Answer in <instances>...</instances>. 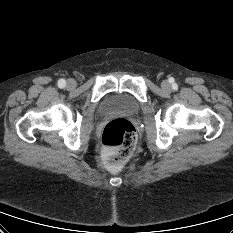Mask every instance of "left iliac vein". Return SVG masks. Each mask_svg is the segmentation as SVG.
<instances>
[{
    "label": "left iliac vein",
    "mask_w": 233,
    "mask_h": 233,
    "mask_svg": "<svg viewBox=\"0 0 233 233\" xmlns=\"http://www.w3.org/2000/svg\"><path fill=\"white\" fill-rule=\"evenodd\" d=\"M161 87L165 90V91H170L171 90V85L168 81H163L161 83Z\"/></svg>",
    "instance_id": "1"
}]
</instances>
